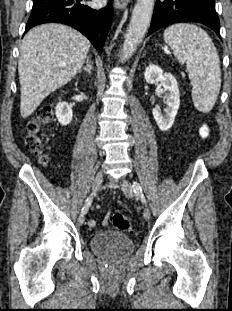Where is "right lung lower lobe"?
Returning a JSON list of instances; mask_svg holds the SVG:
<instances>
[{
    "label": "right lung lower lobe",
    "mask_w": 232,
    "mask_h": 311,
    "mask_svg": "<svg viewBox=\"0 0 232 311\" xmlns=\"http://www.w3.org/2000/svg\"><path fill=\"white\" fill-rule=\"evenodd\" d=\"M112 14L111 3L95 10L82 4V0H34L25 32L43 23H63L80 31L102 52Z\"/></svg>",
    "instance_id": "right-lung-lower-lobe-1"
}]
</instances>
